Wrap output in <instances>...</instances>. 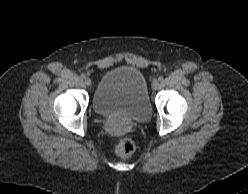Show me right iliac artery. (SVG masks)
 Listing matches in <instances>:
<instances>
[{
  "mask_svg": "<svg viewBox=\"0 0 248 194\" xmlns=\"http://www.w3.org/2000/svg\"><path fill=\"white\" fill-rule=\"evenodd\" d=\"M80 77H81L82 79H85V78H86L85 74H81Z\"/></svg>",
  "mask_w": 248,
  "mask_h": 194,
  "instance_id": "1",
  "label": "right iliac artery"
}]
</instances>
